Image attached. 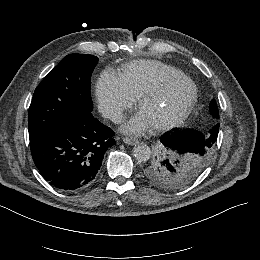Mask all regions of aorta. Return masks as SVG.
<instances>
[{
	"label": "aorta",
	"instance_id": "aorta-1",
	"mask_svg": "<svg viewBox=\"0 0 260 260\" xmlns=\"http://www.w3.org/2000/svg\"><path fill=\"white\" fill-rule=\"evenodd\" d=\"M133 156L139 162H145L151 157V150L146 144H138L133 148Z\"/></svg>",
	"mask_w": 260,
	"mask_h": 260
}]
</instances>
